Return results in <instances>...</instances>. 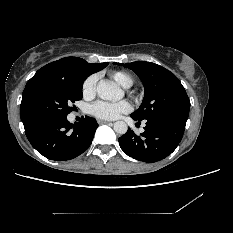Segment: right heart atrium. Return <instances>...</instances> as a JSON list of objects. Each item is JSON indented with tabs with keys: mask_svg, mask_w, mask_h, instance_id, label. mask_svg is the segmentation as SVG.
<instances>
[{
	"mask_svg": "<svg viewBox=\"0 0 233 233\" xmlns=\"http://www.w3.org/2000/svg\"><path fill=\"white\" fill-rule=\"evenodd\" d=\"M97 76L91 75L86 78L82 85V94L85 98H92L96 94Z\"/></svg>",
	"mask_w": 233,
	"mask_h": 233,
	"instance_id": "right-heart-atrium-1",
	"label": "right heart atrium"
}]
</instances>
